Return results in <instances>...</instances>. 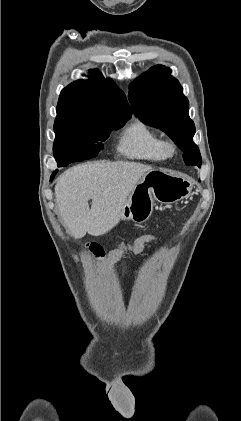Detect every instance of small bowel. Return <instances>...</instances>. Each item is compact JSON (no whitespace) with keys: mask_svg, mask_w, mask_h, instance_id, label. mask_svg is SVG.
Returning a JSON list of instances; mask_svg holds the SVG:
<instances>
[{"mask_svg":"<svg viewBox=\"0 0 241 421\" xmlns=\"http://www.w3.org/2000/svg\"><path fill=\"white\" fill-rule=\"evenodd\" d=\"M155 235H153V234H144V235H142V236H140L137 240H136V244L138 245V246H140V247H143L144 248V246H145V244H147V243H149V242H151V241H153V240H155ZM120 258H121V253L120 252H116V253H114L112 256H111V258H110V265L111 266H115L117 263H118V261L120 260Z\"/></svg>","mask_w":241,"mask_h":421,"instance_id":"c3829d8e","label":"small bowel"}]
</instances>
